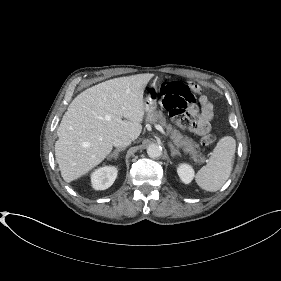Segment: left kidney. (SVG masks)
Segmentation results:
<instances>
[{
    "mask_svg": "<svg viewBox=\"0 0 281 281\" xmlns=\"http://www.w3.org/2000/svg\"><path fill=\"white\" fill-rule=\"evenodd\" d=\"M177 173L182 182H184L185 184H189L193 180L194 170L188 164H180L177 168Z\"/></svg>",
    "mask_w": 281,
    "mask_h": 281,
    "instance_id": "1",
    "label": "left kidney"
}]
</instances>
